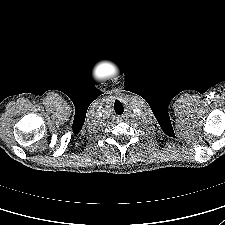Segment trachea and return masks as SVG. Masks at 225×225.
I'll return each mask as SVG.
<instances>
[{"instance_id": "obj_1", "label": "trachea", "mask_w": 225, "mask_h": 225, "mask_svg": "<svg viewBox=\"0 0 225 225\" xmlns=\"http://www.w3.org/2000/svg\"><path fill=\"white\" fill-rule=\"evenodd\" d=\"M114 110H115L116 114H118V115H121L124 112V107H123L122 103L119 102L118 100H116L114 103Z\"/></svg>"}]
</instances>
